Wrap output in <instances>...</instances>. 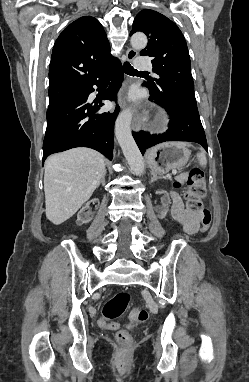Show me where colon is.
I'll list each match as a JSON object with an SVG mask.
<instances>
[{"mask_svg": "<svg viewBox=\"0 0 249 382\" xmlns=\"http://www.w3.org/2000/svg\"><path fill=\"white\" fill-rule=\"evenodd\" d=\"M188 189L185 193L186 207L189 211L198 212L202 215V230L208 229L211 224L212 216L208 208L202 204V198L205 195V179L202 169L195 167L189 172L187 179ZM179 186V183H176ZM130 301L129 293L121 291L109 298L102 309V318L99 323L103 328L117 329L119 324L114 322L120 318ZM131 320L144 323L148 320V312L143 309H134L130 314ZM116 340L123 346H130L132 344L131 334L127 330H119L116 333Z\"/></svg>", "mask_w": 249, "mask_h": 382, "instance_id": "obj_1", "label": "colon"}]
</instances>
